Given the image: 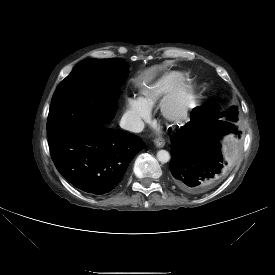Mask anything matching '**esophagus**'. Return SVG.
Masks as SVG:
<instances>
[{
  "mask_svg": "<svg viewBox=\"0 0 275 275\" xmlns=\"http://www.w3.org/2000/svg\"><path fill=\"white\" fill-rule=\"evenodd\" d=\"M154 143L158 148H162L165 145V141L162 137L155 138Z\"/></svg>",
  "mask_w": 275,
  "mask_h": 275,
  "instance_id": "34e87169",
  "label": "esophagus"
}]
</instances>
